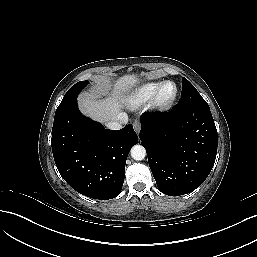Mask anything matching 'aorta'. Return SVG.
<instances>
[{"label":"aorta","mask_w":257,"mask_h":257,"mask_svg":"<svg viewBox=\"0 0 257 257\" xmlns=\"http://www.w3.org/2000/svg\"><path fill=\"white\" fill-rule=\"evenodd\" d=\"M130 153L132 158L136 161H141L146 156V150L142 145H134Z\"/></svg>","instance_id":"762f6f07"}]
</instances>
